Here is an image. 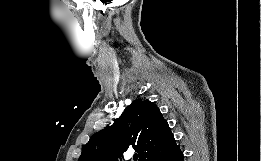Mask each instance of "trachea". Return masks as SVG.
Listing matches in <instances>:
<instances>
[{
    "label": "trachea",
    "instance_id": "trachea-1",
    "mask_svg": "<svg viewBox=\"0 0 261 161\" xmlns=\"http://www.w3.org/2000/svg\"><path fill=\"white\" fill-rule=\"evenodd\" d=\"M137 158H138V156H137V154H135V155L133 156L134 161H137Z\"/></svg>",
    "mask_w": 261,
    "mask_h": 161
}]
</instances>
